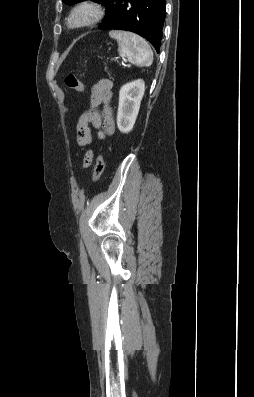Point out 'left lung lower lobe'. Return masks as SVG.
<instances>
[{
    "label": "left lung lower lobe",
    "mask_w": 254,
    "mask_h": 397,
    "mask_svg": "<svg viewBox=\"0 0 254 397\" xmlns=\"http://www.w3.org/2000/svg\"><path fill=\"white\" fill-rule=\"evenodd\" d=\"M165 0H110L99 28L135 32L159 53L165 20Z\"/></svg>",
    "instance_id": "left-lung-lower-lobe-1"
}]
</instances>
